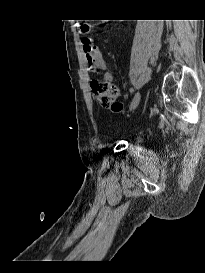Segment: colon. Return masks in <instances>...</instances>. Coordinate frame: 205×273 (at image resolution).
I'll return each mask as SVG.
<instances>
[{
    "label": "colon",
    "instance_id": "colon-1",
    "mask_svg": "<svg viewBox=\"0 0 205 273\" xmlns=\"http://www.w3.org/2000/svg\"><path fill=\"white\" fill-rule=\"evenodd\" d=\"M77 32L81 35L88 34L91 26L84 21H76ZM93 95L97 99L100 105L110 107L114 113H120L123 111V104L115 102L118 95V90L111 85L108 81L93 79L90 83Z\"/></svg>",
    "mask_w": 205,
    "mask_h": 273
}]
</instances>
